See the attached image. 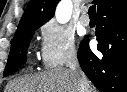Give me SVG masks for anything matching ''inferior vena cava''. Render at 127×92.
<instances>
[{"instance_id":"602c4592","label":"inferior vena cava","mask_w":127,"mask_h":92,"mask_svg":"<svg viewBox=\"0 0 127 92\" xmlns=\"http://www.w3.org/2000/svg\"><path fill=\"white\" fill-rule=\"evenodd\" d=\"M67 66L72 72L82 73L79 68V62L75 51L72 52L71 56L69 57ZM88 89L89 87H88L87 80L84 77V75H82L81 78H79V92H88Z\"/></svg>"}]
</instances>
